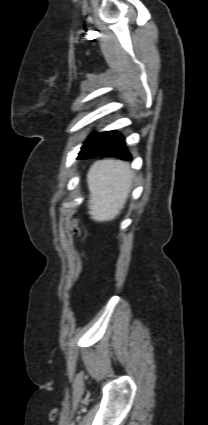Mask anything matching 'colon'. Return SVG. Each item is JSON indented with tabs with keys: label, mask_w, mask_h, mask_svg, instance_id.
I'll list each match as a JSON object with an SVG mask.
<instances>
[{
	"label": "colon",
	"mask_w": 208,
	"mask_h": 425,
	"mask_svg": "<svg viewBox=\"0 0 208 425\" xmlns=\"http://www.w3.org/2000/svg\"><path fill=\"white\" fill-rule=\"evenodd\" d=\"M71 232L75 235H78L80 233V229L75 221L72 223Z\"/></svg>",
	"instance_id": "5ec220e1"
}]
</instances>
